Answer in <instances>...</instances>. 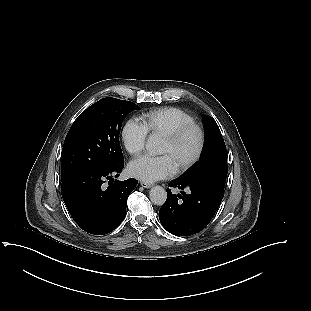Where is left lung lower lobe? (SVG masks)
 <instances>
[{
	"label": "left lung lower lobe",
	"mask_w": 311,
	"mask_h": 311,
	"mask_svg": "<svg viewBox=\"0 0 311 311\" xmlns=\"http://www.w3.org/2000/svg\"><path fill=\"white\" fill-rule=\"evenodd\" d=\"M171 187L190 189L189 194H172L167 189V200L159 211L162 226L176 236H189L203 230L217 211L223 190L205 182L174 179Z\"/></svg>",
	"instance_id": "obj_1"
}]
</instances>
